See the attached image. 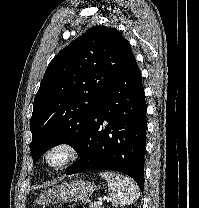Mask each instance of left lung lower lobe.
<instances>
[{
	"label": "left lung lower lobe",
	"mask_w": 199,
	"mask_h": 208,
	"mask_svg": "<svg viewBox=\"0 0 199 208\" xmlns=\"http://www.w3.org/2000/svg\"><path fill=\"white\" fill-rule=\"evenodd\" d=\"M146 111L141 73L134 59L95 106L84 139L76 150L80 152V160L66 169L67 174L115 170L132 177L142 191Z\"/></svg>",
	"instance_id": "left-lung-lower-lobe-1"
}]
</instances>
